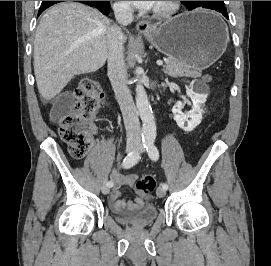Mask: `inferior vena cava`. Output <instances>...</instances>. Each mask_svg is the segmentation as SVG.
<instances>
[{"label":"inferior vena cava","mask_w":271,"mask_h":266,"mask_svg":"<svg viewBox=\"0 0 271 266\" xmlns=\"http://www.w3.org/2000/svg\"><path fill=\"white\" fill-rule=\"evenodd\" d=\"M118 24L127 26L133 21V10L127 3L113 6ZM124 36L121 27L113 25L108 33V76L119 103L128 141H141V130L138 111L127 86V73L123 52Z\"/></svg>","instance_id":"1"}]
</instances>
